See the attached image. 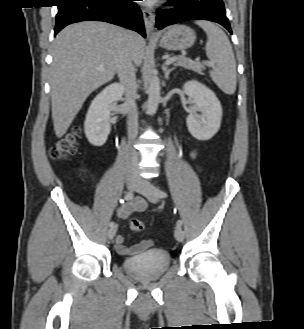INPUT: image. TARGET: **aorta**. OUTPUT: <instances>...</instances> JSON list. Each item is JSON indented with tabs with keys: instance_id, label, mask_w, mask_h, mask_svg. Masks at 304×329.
<instances>
[{
	"instance_id": "aorta-1",
	"label": "aorta",
	"mask_w": 304,
	"mask_h": 329,
	"mask_svg": "<svg viewBox=\"0 0 304 329\" xmlns=\"http://www.w3.org/2000/svg\"><path fill=\"white\" fill-rule=\"evenodd\" d=\"M160 102V80L157 75H151L149 78L147 112L154 115Z\"/></svg>"
}]
</instances>
